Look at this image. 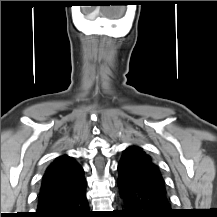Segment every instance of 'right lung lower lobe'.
<instances>
[{
  "instance_id": "obj_1",
  "label": "right lung lower lobe",
  "mask_w": 217,
  "mask_h": 217,
  "mask_svg": "<svg viewBox=\"0 0 217 217\" xmlns=\"http://www.w3.org/2000/svg\"><path fill=\"white\" fill-rule=\"evenodd\" d=\"M31 217H92L85 190L46 205L38 206Z\"/></svg>"
}]
</instances>
